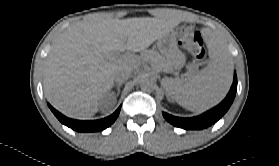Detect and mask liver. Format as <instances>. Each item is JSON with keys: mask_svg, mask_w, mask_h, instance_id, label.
<instances>
[{"mask_svg": "<svg viewBox=\"0 0 279 166\" xmlns=\"http://www.w3.org/2000/svg\"><path fill=\"white\" fill-rule=\"evenodd\" d=\"M175 11L161 18L118 19L94 14L69 26L53 44L45 62L48 101L68 117L89 119L114 83V73L130 60L113 62L116 51L142 52L179 24Z\"/></svg>", "mask_w": 279, "mask_h": 166, "instance_id": "liver-1", "label": "liver"}]
</instances>
